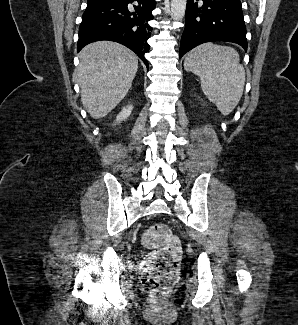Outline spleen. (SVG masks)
<instances>
[{"label":"spleen","mask_w":298,"mask_h":325,"mask_svg":"<svg viewBox=\"0 0 298 325\" xmlns=\"http://www.w3.org/2000/svg\"><path fill=\"white\" fill-rule=\"evenodd\" d=\"M184 68L200 76L204 94L222 114H230L234 110L245 84V70L237 50L231 46L204 42L188 52Z\"/></svg>","instance_id":"obj_1"}]
</instances>
